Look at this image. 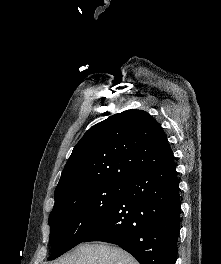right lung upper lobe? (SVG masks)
<instances>
[{
	"instance_id": "right-lung-upper-lobe-1",
	"label": "right lung upper lobe",
	"mask_w": 221,
	"mask_h": 264,
	"mask_svg": "<svg viewBox=\"0 0 221 264\" xmlns=\"http://www.w3.org/2000/svg\"><path fill=\"white\" fill-rule=\"evenodd\" d=\"M173 159L160 124L147 112L127 110L90 128L74 147L55 189L54 207L107 182H126Z\"/></svg>"
}]
</instances>
